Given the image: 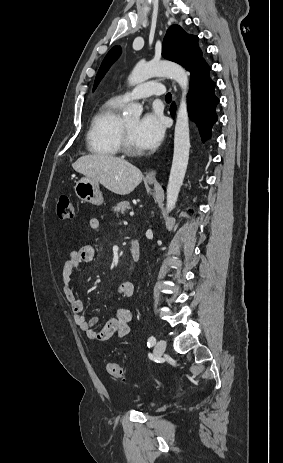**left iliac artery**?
<instances>
[{"label":"left iliac artery","instance_id":"1","mask_svg":"<svg viewBox=\"0 0 283 463\" xmlns=\"http://www.w3.org/2000/svg\"><path fill=\"white\" fill-rule=\"evenodd\" d=\"M155 343H156L155 337L154 336L149 337L148 342H147L148 347L153 346Z\"/></svg>","mask_w":283,"mask_h":463}]
</instances>
